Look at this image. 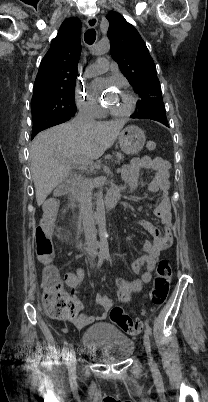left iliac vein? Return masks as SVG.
Here are the masks:
<instances>
[{"instance_id":"obj_1","label":"left iliac vein","mask_w":208,"mask_h":402,"mask_svg":"<svg viewBox=\"0 0 208 402\" xmlns=\"http://www.w3.org/2000/svg\"><path fill=\"white\" fill-rule=\"evenodd\" d=\"M143 339H144V347H145L146 353L148 355L149 363L152 364L153 357L151 354L150 338H149V334L147 333V331H145Z\"/></svg>"}]
</instances>
